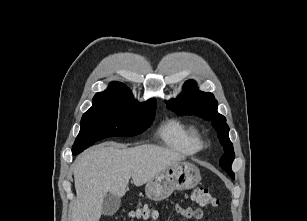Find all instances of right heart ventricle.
I'll return each instance as SVG.
<instances>
[{
	"mask_svg": "<svg viewBox=\"0 0 307 221\" xmlns=\"http://www.w3.org/2000/svg\"><path fill=\"white\" fill-rule=\"evenodd\" d=\"M158 133L168 148L183 155H194L202 148L198 129L187 121L170 119L160 127Z\"/></svg>",
	"mask_w": 307,
	"mask_h": 221,
	"instance_id": "obj_1",
	"label": "right heart ventricle"
}]
</instances>
